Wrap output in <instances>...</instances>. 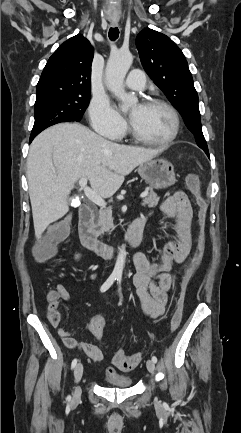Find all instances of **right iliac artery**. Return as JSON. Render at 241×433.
<instances>
[{
  "instance_id": "82829eb1",
  "label": "right iliac artery",
  "mask_w": 241,
  "mask_h": 433,
  "mask_svg": "<svg viewBox=\"0 0 241 433\" xmlns=\"http://www.w3.org/2000/svg\"><path fill=\"white\" fill-rule=\"evenodd\" d=\"M116 279H117L116 275H110L109 278L105 281V283L101 286L100 291L105 292L106 290H108ZM76 364H77V359H74L71 363V368L74 369ZM67 399L70 400L71 397L68 396Z\"/></svg>"
}]
</instances>
